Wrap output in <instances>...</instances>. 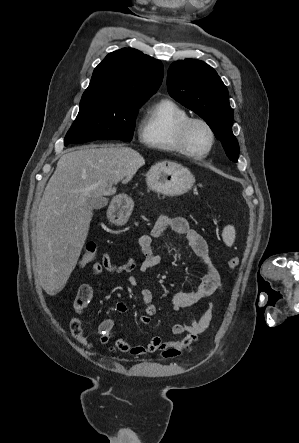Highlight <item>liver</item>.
<instances>
[{
    "label": "liver",
    "mask_w": 299,
    "mask_h": 443,
    "mask_svg": "<svg viewBox=\"0 0 299 443\" xmlns=\"http://www.w3.org/2000/svg\"><path fill=\"white\" fill-rule=\"evenodd\" d=\"M144 164L122 145L82 147L59 159L36 218L35 272L47 294L59 293L77 264L93 217L87 198L112 194L114 184L130 180Z\"/></svg>",
    "instance_id": "1"
}]
</instances>
